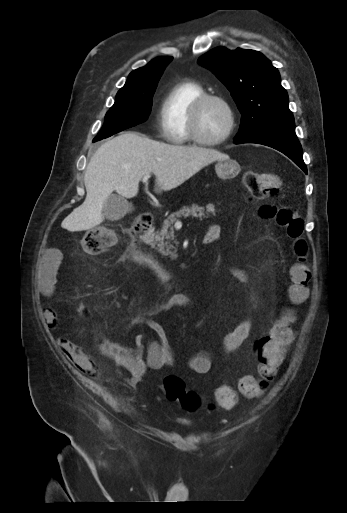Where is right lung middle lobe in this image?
<instances>
[{"mask_svg":"<svg viewBox=\"0 0 347 513\" xmlns=\"http://www.w3.org/2000/svg\"><path fill=\"white\" fill-rule=\"evenodd\" d=\"M157 82L137 89H120L116 100L105 116V123L93 140L107 138L147 120L152 106V97Z\"/></svg>","mask_w":347,"mask_h":513,"instance_id":"right-lung-middle-lobe-1","label":"right lung middle lobe"}]
</instances>
